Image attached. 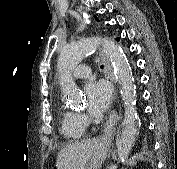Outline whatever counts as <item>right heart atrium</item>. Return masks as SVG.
<instances>
[{
    "label": "right heart atrium",
    "instance_id": "right-heart-atrium-1",
    "mask_svg": "<svg viewBox=\"0 0 177 169\" xmlns=\"http://www.w3.org/2000/svg\"><path fill=\"white\" fill-rule=\"evenodd\" d=\"M79 119L83 125L88 123V118L84 115H79Z\"/></svg>",
    "mask_w": 177,
    "mask_h": 169
}]
</instances>
